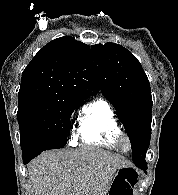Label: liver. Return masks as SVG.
Instances as JSON below:
<instances>
[{
	"label": "liver",
	"mask_w": 178,
	"mask_h": 195,
	"mask_svg": "<svg viewBox=\"0 0 178 195\" xmlns=\"http://www.w3.org/2000/svg\"><path fill=\"white\" fill-rule=\"evenodd\" d=\"M130 164L96 147L48 151L28 166L33 195H107L113 177Z\"/></svg>",
	"instance_id": "liver-1"
}]
</instances>
